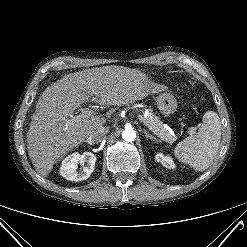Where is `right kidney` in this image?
Instances as JSON below:
<instances>
[{
  "mask_svg": "<svg viewBox=\"0 0 247 247\" xmlns=\"http://www.w3.org/2000/svg\"><path fill=\"white\" fill-rule=\"evenodd\" d=\"M95 162L96 156L93 153L84 152L81 155L75 152L63 160L60 167V174L70 181L86 180L94 171ZM78 164L83 166V169L79 172L77 171Z\"/></svg>",
  "mask_w": 247,
  "mask_h": 247,
  "instance_id": "obj_1",
  "label": "right kidney"
}]
</instances>
